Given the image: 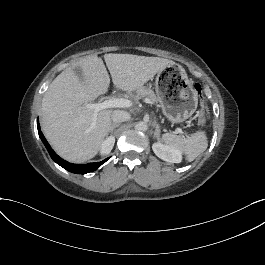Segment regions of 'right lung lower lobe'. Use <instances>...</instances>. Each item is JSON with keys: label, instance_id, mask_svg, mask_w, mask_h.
Returning a JSON list of instances; mask_svg holds the SVG:
<instances>
[{"label": "right lung lower lobe", "instance_id": "obj_1", "mask_svg": "<svg viewBox=\"0 0 265 265\" xmlns=\"http://www.w3.org/2000/svg\"><path fill=\"white\" fill-rule=\"evenodd\" d=\"M37 128H38V134L42 140V142L44 143L45 147L47 148L51 158L57 163L59 164L61 167H63L64 169L72 172V173H76V174H86L88 172H93L96 169H98L103 163H105L109 158L101 161V162H97V163H89V164H70L68 162H66L65 160L61 159L58 155L55 154V152L52 150V148L50 147V145L48 144V142L46 141L45 137L43 136L41 130H40V125L39 122H37Z\"/></svg>", "mask_w": 265, "mask_h": 265}]
</instances>
